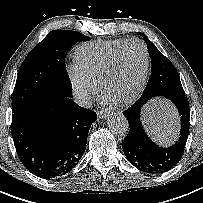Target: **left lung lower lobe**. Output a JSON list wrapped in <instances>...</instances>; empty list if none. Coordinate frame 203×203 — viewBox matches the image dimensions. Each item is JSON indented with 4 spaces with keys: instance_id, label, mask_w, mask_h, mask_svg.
Segmentation results:
<instances>
[{
    "instance_id": "obj_1",
    "label": "left lung lower lobe",
    "mask_w": 203,
    "mask_h": 203,
    "mask_svg": "<svg viewBox=\"0 0 203 203\" xmlns=\"http://www.w3.org/2000/svg\"><path fill=\"white\" fill-rule=\"evenodd\" d=\"M168 98L177 108L181 117L178 141L168 148L159 147L145 133L140 121V111L150 99L142 96L123 114L127 117L130 131L122 141L125 156L137 169L151 173H163L173 168L182 158L189 134L190 108L185 96Z\"/></svg>"
}]
</instances>
